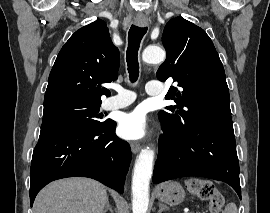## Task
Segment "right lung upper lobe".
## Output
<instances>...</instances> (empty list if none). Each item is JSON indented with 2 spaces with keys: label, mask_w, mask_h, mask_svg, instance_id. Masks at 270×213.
I'll use <instances>...</instances> for the list:
<instances>
[{
  "label": "right lung upper lobe",
  "mask_w": 270,
  "mask_h": 213,
  "mask_svg": "<svg viewBox=\"0 0 270 213\" xmlns=\"http://www.w3.org/2000/svg\"><path fill=\"white\" fill-rule=\"evenodd\" d=\"M120 55L107 25L96 20L77 30L60 50L48 79L44 106L78 100L101 103V87L117 78Z\"/></svg>",
  "instance_id": "obj_1"
}]
</instances>
